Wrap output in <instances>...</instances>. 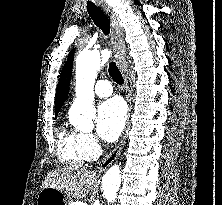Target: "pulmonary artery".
<instances>
[{"mask_svg": "<svg viewBox=\"0 0 222 205\" xmlns=\"http://www.w3.org/2000/svg\"><path fill=\"white\" fill-rule=\"evenodd\" d=\"M113 92L112 86L105 80H100L95 84L94 93L99 97L110 96Z\"/></svg>", "mask_w": 222, "mask_h": 205, "instance_id": "obj_1", "label": "pulmonary artery"}]
</instances>
